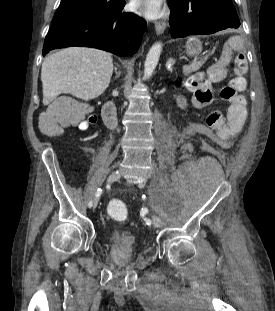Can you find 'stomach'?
I'll use <instances>...</instances> for the list:
<instances>
[{
    "label": "stomach",
    "instance_id": "stomach-1",
    "mask_svg": "<svg viewBox=\"0 0 275 311\" xmlns=\"http://www.w3.org/2000/svg\"><path fill=\"white\" fill-rule=\"evenodd\" d=\"M185 48L189 56H195L202 51V43L195 38H191L187 41Z\"/></svg>",
    "mask_w": 275,
    "mask_h": 311
}]
</instances>
